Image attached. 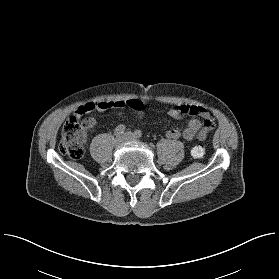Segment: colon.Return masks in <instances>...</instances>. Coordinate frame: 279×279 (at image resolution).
I'll return each mask as SVG.
<instances>
[{
	"label": "colon",
	"instance_id": "obj_1",
	"mask_svg": "<svg viewBox=\"0 0 279 279\" xmlns=\"http://www.w3.org/2000/svg\"><path fill=\"white\" fill-rule=\"evenodd\" d=\"M126 106L133 110H140L142 102L140 100H128ZM96 125L94 118L80 119L72 116L66 120L62 126L61 140L59 150L62 154L69 156L73 160H79L84 156V142L88 132ZM204 147L196 145L191 149L193 157H202L204 155Z\"/></svg>",
	"mask_w": 279,
	"mask_h": 279
}]
</instances>
